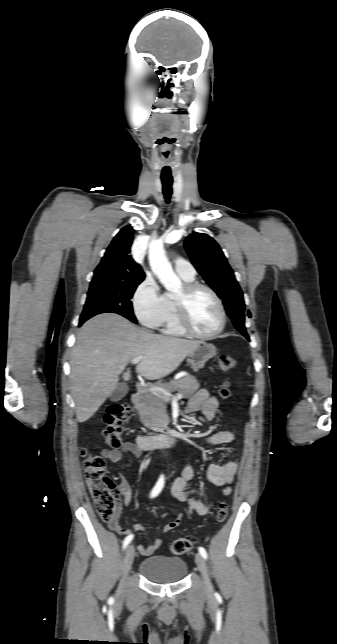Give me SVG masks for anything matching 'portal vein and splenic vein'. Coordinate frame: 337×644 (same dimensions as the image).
I'll return each mask as SVG.
<instances>
[{"mask_svg":"<svg viewBox=\"0 0 337 644\" xmlns=\"http://www.w3.org/2000/svg\"><path fill=\"white\" fill-rule=\"evenodd\" d=\"M141 360H142V357L139 356V357H136V358L132 359L131 362H132V364H138ZM149 390L153 394H156V395L162 394V395H164L166 399L174 398L175 400H180L183 397V395L180 394V393L177 394L175 397H173L169 391H167V390H165V389H163L161 387H158V386H152V387L149 388Z\"/></svg>","mask_w":337,"mask_h":644,"instance_id":"portal-vein-and-splenic-vein-1","label":"portal vein and splenic vein"}]
</instances>
